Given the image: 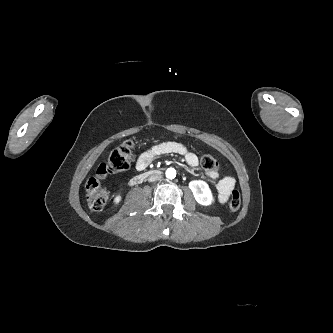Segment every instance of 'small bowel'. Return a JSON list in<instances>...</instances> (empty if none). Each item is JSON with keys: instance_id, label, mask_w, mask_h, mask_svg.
<instances>
[{"instance_id": "small-bowel-1", "label": "small bowel", "mask_w": 333, "mask_h": 333, "mask_svg": "<svg viewBox=\"0 0 333 333\" xmlns=\"http://www.w3.org/2000/svg\"><path fill=\"white\" fill-rule=\"evenodd\" d=\"M177 154L184 157L190 167L198 164V157L191 152L184 144L174 141H167L156 144L140 154L136 161L138 171L145 170L157 157L162 155ZM207 176L211 179H217V171H207ZM235 187V179L232 176H224L217 183L218 200L224 203L232 189Z\"/></svg>"}]
</instances>
